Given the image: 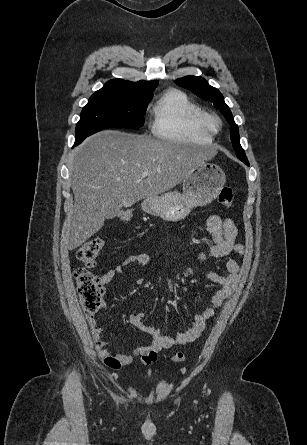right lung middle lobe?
<instances>
[{
	"label": "right lung middle lobe",
	"instance_id": "right-lung-middle-lobe-1",
	"mask_svg": "<svg viewBox=\"0 0 307 445\" xmlns=\"http://www.w3.org/2000/svg\"><path fill=\"white\" fill-rule=\"evenodd\" d=\"M151 99L92 95L76 125V139L84 140L100 130L112 127L138 129L144 125V113Z\"/></svg>",
	"mask_w": 307,
	"mask_h": 445
}]
</instances>
